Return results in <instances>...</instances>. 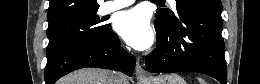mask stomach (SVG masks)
<instances>
[{
  "instance_id": "0dacf381",
  "label": "stomach",
  "mask_w": 260,
  "mask_h": 84,
  "mask_svg": "<svg viewBox=\"0 0 260 84\" xmlns=\"http://www.w3.org/2000/svg\"><path fill=\"white\" fill-rule=\"evenodd\" d=\"M146 84H186V82L180 75L171 73L158 75Z\"/></svg>"
}]
</instances>
